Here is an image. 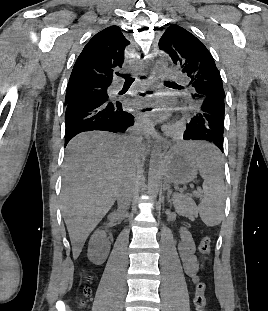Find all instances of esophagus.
I'll list each match as a JSON object with an SVG mask.
<instances>
[{
    "label": "esophagus",
    "mask_w": 268,
    "mask_h": 311,
    "mask_svg": "<svg viewBox=\"0 0 268 311\" xmlns=\"http://www.w3.org/2000/svg\"><path fill=\"white\" fill-rule=\"evenodd\" d=\"M143 72H147L145 62L143 63ZM148 79L152 88L153 84L157 82V77L153 70H150ZM136 120L139 126L142 128L143 134L148 144L153 145L155 141L159 139V134L155 130L153 120L143 115L140 111L137 113Z\"/></svg>",
    "instance_id": "34e87169"
}]
</instances>
